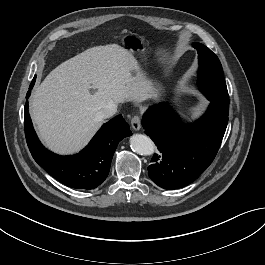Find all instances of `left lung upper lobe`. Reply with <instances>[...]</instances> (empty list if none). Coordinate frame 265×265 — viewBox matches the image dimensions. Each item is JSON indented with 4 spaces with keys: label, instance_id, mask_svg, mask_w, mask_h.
Returning a JSON list of instances; mask_svg holds the SVG:
<instances>
[{
    "label": "left lung upper lobe",
    "instance_id": "left-lung-upper-lobe-1",
    "mask_svg": "<svg viewBox=\"0 0 265 265\" xmlns=\"http://www.w3.org/2000/svg\"><path fill=\"white\" fill-rule=\"evenodd\" d=\"M199 58V87L203 94L217 106L228 110L229 96L222 65L218 57L206 46L193 43Z\"/></svg>",
    "mask_w": 265,
    "mask_h": 265
}]
</instances>
